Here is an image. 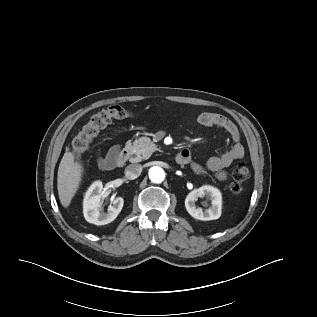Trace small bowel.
<instances>
[{
	"label": "small bowel",
	"mask_w": 317,
	"mask_h": 317,
	"mask_svg": "<svg viewBox=\"0 0 317 317\" xmlns=\"http://www.w3.org/2000/svg\"><path fill=\"white\" fill-rule=\"evenodd\" d=\"M197 121L202 126H217L224 129L234 141V145L230 150L226 151L222 155L210 157L205 162L204 166L194 162L190 153L186 150L189 153V157L183 164H190L193 170L198 174H203L205 173V171H209L211 173H214L218 180H226V169L230 167L234 161L242 159L245 155V149L240 143V131L232 120L219 113L202 112L198 115ZM116 152L117 147L111 148L106 157L98 158V165L101 168L105 169L107 161L112 159L115 156Z\"/></svg>",
	"instance_id": "c3829d8e"
}]
</instances>
